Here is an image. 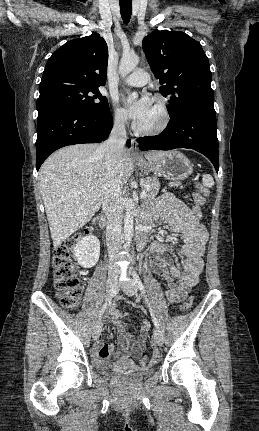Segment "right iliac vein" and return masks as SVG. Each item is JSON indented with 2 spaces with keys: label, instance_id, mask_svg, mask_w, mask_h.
I'll return each mask as SVG.
<instances>
[{
  "label": "right iliac vein",
  "instance_id": "right-iliac-vein-1",
  "mask_svg": "<svg viewBox=\"0 0 259 431\" xmlns=\"http://www.w3.org/2000/svg\"><path fill=\"white\" fill-rule=\"evenodd\" d=\"M117 291L116 273L110 275L106 284V295L109 298L113 297ZM102 330V321H98L93 328V338L96 340L99 338Z\"/></svg>",
  "mask_w": 259,
  "mask_h": 431
}]
</instances>
